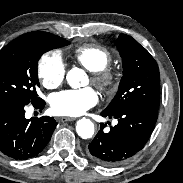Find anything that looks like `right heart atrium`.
I'll use <instances>...</instances> for the list:
<instances>
[{
	"mask_svg": "<svg viewBox=\"0 0 183 183\" xmlns=\"http://www.w3.org/2000/svg\"><path fill=\"white\" fill-rule=\"evenodd\" d=\"M65 73V64L58 52L49 51L41 56L37 66V75L45 88L54 89L60 86Z\"/></svg>",
	"mask_w": 183,
	"mask_h": 183,
	"instance_id": "right-heart-atrium-1",
	"label": "right heart atrium"
}]
</instances>
